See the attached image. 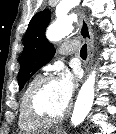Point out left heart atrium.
<instances>
[{
	"mask_svg": "<svg viewBox=\"0 0 116 134\" xmlns=\"http://www.w3.org/2000/svg\"><path fill=\"white\" fill-rule=\"evenodd\" d=\"M57 85L64 101L69 104L75 90V77L68 71H63L57 79Z\"/></svg>",
	"mask_w": 116,
	"mask_h": 134,
	"instance_id": "1",
	"label": "left heart atrium"
}]
</instances>
